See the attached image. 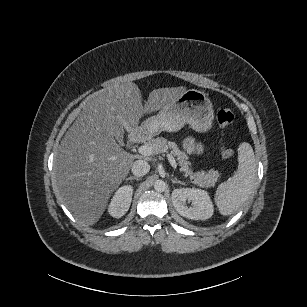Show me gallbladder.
I'll use <instances>...</instances> for the list:
<instances>
[{"label": "gallbladder", "instance_id": "gallbladder-1", "mask_svg": "<svg viewBox=\"0 0 307 307\" xmlns=\"http://www.w3.org/2000/svg\"><path fill=\"white\" fill-rule=\"evenodd\" d=\"M111 128L113 130L112 135L115 137L116 142L121 143L124 140V128L122 124L116 120L110 122Z\"/></svg>", "mask_w": 307, "mask_h": 307}]
</instances>
